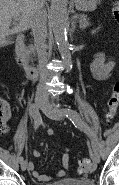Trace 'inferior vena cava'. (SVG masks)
Segmentation results:
<instances>
[{"label":"inferior vena cava","mask_w":119,"mask_h":185,"mask_svg":"<svg viewBox=\"0 0 119 185\" xmlns=\"http://www.w3.org/2000/svg\"><path fill=\"white\" fill-rule=\"evenodd\" d=\"M47 14L43 9V5L39 7L33 18V22L31 24L32 33L34 36L35 47L38 54L39 60V72H40V82L36 91V98H41L47 100L49 97L48 88L45 85L47 81H49L51 74L46 68V65L49 61L50 54L47 53Z\"/></svg>","instance_id":"obj_1"}]
</instances>
